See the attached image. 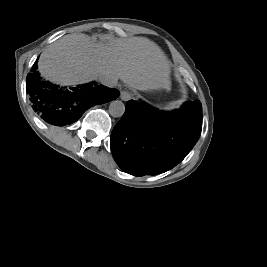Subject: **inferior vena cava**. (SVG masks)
<instances>
[{"mask_svg":"<svg viewBox=\"0 0 267 267\" xmlns=\"http://www.w3.org/2000/svg\"><path fill=\"white\" fill-rule=\"evenodd\" d=\"M99 81L101 84L107 86V87H115L118 83V79L110 74H101L99 75Z\"/></svg>","mask_w":267,"mask_h":267,"instance_id":"inferior-vena-cava-1","label":"inferior vena cava"}]
</instances>
